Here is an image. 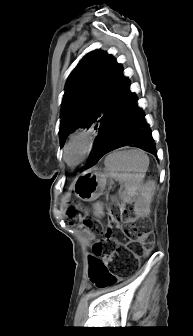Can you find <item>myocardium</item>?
<instances>
[{"label": "myocardium", "mask_w": 193, "mask_h": 336, "mask_svg": "<svg viewBox=\"0 0 193 336\" xmlns=\"http://www.w3.org/2000/svg\"><path fill=\"white\" fill-rule=\"evenodd\" d=\"M75 143L82 144V151L80 157L76 161H70L68 158V151ZM95 146V137L91 131L80 130L72 133L63 147V159L67 165L74 167L82 163L93 151Z\"/></svg>", "instance_id": "f54148a6"}]
</instances>
